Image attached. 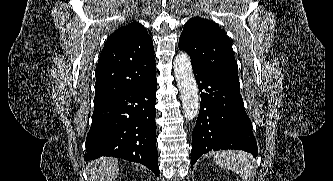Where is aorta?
<instances>
[{
  "label": "aorta",
  "instance_id": "obj_1",
  "mask_svg": "<svg viewBox=\"0 0 333 181\" xmlns=\"http://www.w3.org/2000/svg\"><path fill=\"white\" fill-rule=\"evenodd\" d=\"M173 64L184 116L187 120H193L199 112V95L190 58L186 53H179Z\"/></svg>",
  "mask_w": 333,
  "mask_h": 181
}]
</instances>
